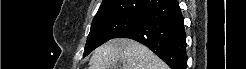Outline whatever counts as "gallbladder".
Instances as JSON below:
<instances>
[{"label": "gallbladder", "mask_w": 246, "mask_h": 69, "mask_svg": "<svg viewBox=\"0 0 246 69\" xmlns=\"http://www.w3.org/2000/svg\"><path fill=\"white\" fill-rule=\"evenodd\" d=\"M113 69H121V65H120V64L115 65V66L113 67Z\"/></svg>", "instance_id": "obj_1"}]
</instances>
